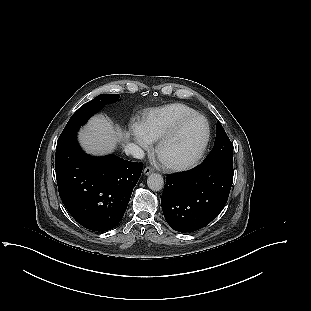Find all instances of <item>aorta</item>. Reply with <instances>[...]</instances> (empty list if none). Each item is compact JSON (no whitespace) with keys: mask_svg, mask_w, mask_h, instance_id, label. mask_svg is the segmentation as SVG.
I'll return each instance as SVG.
<instances>
[{"mask_svg":"<svg viewBox=\"0 0 311 311\" xmlns=\"http://www.w3.org/2000/svg\"><path fill=\"white\" fill-rule=\"evenodd\" d=\"M148 188L152 191H160L164 187V179L162 175L158 173H152L147 179Z\"/></svg>","mask_w":311,"mask_h":311,"instance_id":"762f6f07","label":"aorta"}]
</instances>
